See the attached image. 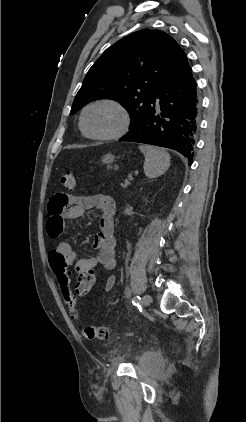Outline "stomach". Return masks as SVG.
<instances>
[{
    "mask_svg": "<svg viewBox=\"0 0 246 422\" xmlns=\"http://www.w3.org/2000/svg\"><path fill=\"white\" fill-rule=\"evenodd\" d=\"M115 156L112 154H107L105 156L102 157V163L104 164H108V163H112L115 160Z\"/></svg>",
    "mask_w": 246,
    "mask_h": 422,
    "instance_id": "0dacf381",
    "label": "stomach"
}]
</instances>
